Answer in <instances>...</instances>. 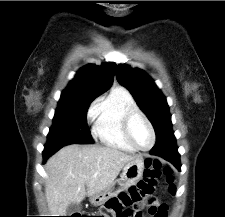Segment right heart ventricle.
I'll return each mask as SVG.
<instances>
[{
	"instance_id": "right-heart-ventricle-1",
	"label": "right heart ventricle",
	"mask_w": 225,
	"mask_h": 217,
	"mask_svg": "<svg viewBox=\"0 0 225 217\" xmlns=\"http://www.w3.org/2000/svg\"><path fill=\"white\" fill-rule=\"evenodd\" d=\"M137 108L132 94L123 87H115L94 110V134L106 147L134 153L136 150L123 134V117L130 109Z\"/></svg>"
}]
</instances>
